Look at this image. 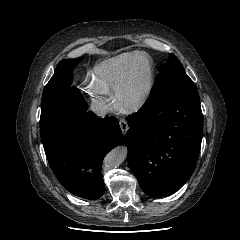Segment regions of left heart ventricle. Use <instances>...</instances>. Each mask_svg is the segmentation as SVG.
Here are the masks:
<instances>
[{"mask_svg":"<svg viewBox=\"0 0 240 240\" xmlns=\"http://www.w3.org/2000/svg\"><path fill=\"white\" fill-rule=\"evenodd\" d=\"M144 86H145V79L144 78H141L140 80H139V82H138V84L136 85V87H135V91H140V90H142L143 88H144Z\"/></svg>","mask_w":240,"mask_h":240,"instance_id":"left-heart-ventricle-1","label":"left heart ventricle"}]
</instances>
